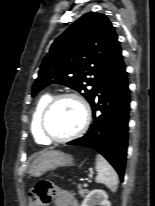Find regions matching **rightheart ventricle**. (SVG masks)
I'll return each mask as SVG.
<instances>
[{
    "label": "right heart ventricle",
    "instance_id": "right-heart-ventricle-1",
    "mask_svg": "<svg viewBox=\"0 0 155 206\" xmlns=\"http://www.w3.org/2000/svg\"><path fill=\"white\" fill-rule=\"evenodd\" d=\"M51 98H52V95L50 93H45L41 95L38 101L36 102V105L34 107L33 114H32V121H31L32 135L34 137V140L38 144H42V145L49 144V141H47L40 132V116H41V113L44 107L46 106V104L49 102Z\"/></svg>",
    "mask_w": 155,
    "mask_h": 206
}]
</instances>
